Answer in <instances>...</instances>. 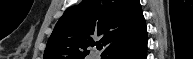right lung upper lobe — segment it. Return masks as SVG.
Returning a JSON list of instances; mask_svg holds the SVG:
<instances>
[{
    "label": "right lung upper lobe",
    "mask_w": 193,
    "mask_h": 59,
    "mask_svg": "<svg viewBox=\"0 0 193 59\" xmlns=\"http://www.w3.org/2000/svg\"><path fill=\"white\" fill-rule=\"evenodd\" d=\"M146 31L139 0H83L57 22L44 59H84L99 38L102 59Z\"/></svg>",
    "instance_id": "obj_1"
}]
</instances>
